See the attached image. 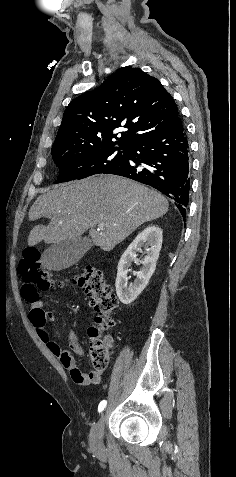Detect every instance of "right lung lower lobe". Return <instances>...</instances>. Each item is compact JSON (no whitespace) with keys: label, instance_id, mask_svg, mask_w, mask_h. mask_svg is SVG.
I'll return each instance as SVG.
<instances>
[{"label":"right lung lower lobe","instance_id":"98d812e1","mask_svg":"<svg viewBox=\"0 0 236 477\" xmlns=\"http://www.w3.org/2000/svg\"><path fill=\"white\" fill-rule=\"evenodd\" d=\"M126 161L109 171L150 185L175 201L183 218L189 201L190 152L182 121L156 135L132 143Z\"/></svg>","mask_w":236,"mask_h":477}]
</instances>
